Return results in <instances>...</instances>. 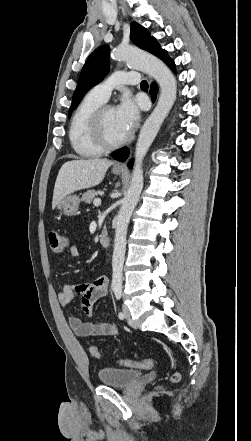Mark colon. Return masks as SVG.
<instances>
[{
	"label": "colon",
	"instance_id": "colon-1",
	"mask_svg": "<svg viewBox=\"0 0 251 441\" xmlns=\"http://www.w3.org/2000/svg\"><path fill=\"white\" fill-rule=\"evenodd\" d=\"M48 244L52 252L61 253L67 245V238L63 233L57 230H52L48 233ZM89 351L93 357H100V351L97 346H90ZM120 364L126 368L148 369L153 366L154 362L152 359H145L141 361L120 360ZM179 380L180 373L177 371L173 372L170 377V381L175 383Z\"/></svg>",
	"mask_w": 251,
	"mask_h": 441
}]
</instances>
